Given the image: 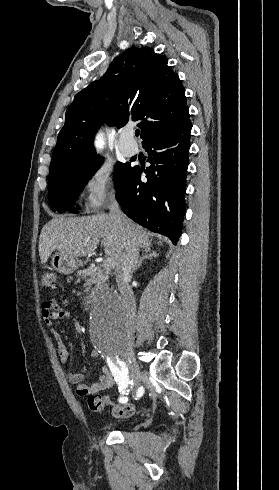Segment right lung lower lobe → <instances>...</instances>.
<instances>
[{"mask_svg": "<svg viewBox=\"0 0 279 490\" xmlns=\"http://www.w3.org/2000/svg\"><path fill=\"white\" fill-rule=\"evenodd\" d=\"M191 121L164 135L148 139L142 147L152 165L133 167L117 189L116 198L132 220L169 237L179 239L185 214L186 174ZM144 172L147 182L140 176Z\"/></svg>", "mask_w": 279, "mask_h": 490, "instance_id": "obj_1", "label": "right lung lower lobe"}]
</instances>
